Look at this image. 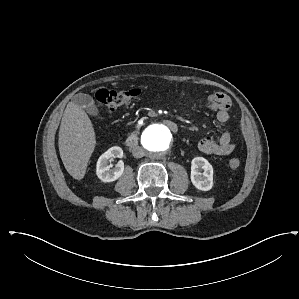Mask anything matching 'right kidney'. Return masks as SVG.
<instances>
[{"mask_svg":"<svg viewBox=\"0 0 299 299\" xmlns=\"http://www.w3.org/2000/svg\"><path fill=\"white\" fill-rule=\"evenodd\" d=\"M123 150L118 146L111 147L105 153H103L98 161L96 166V174L98 178L103 182H113L117 180L124 171L123 161H119L115 168H111L108 165V161L112 158H122Z\"/></svg>","mask_w":299,"mask_h":299,"instance_id":"ca27d5eb","label":"right kidney"}]
</instances>
